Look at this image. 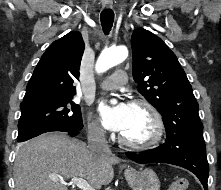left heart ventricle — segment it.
<instances>
[{
    "instance_id": "obj_1",
    "label": "left heart ventricle",
    "mask_w": 221,
    "mask_h": 190,
    "mask_svg": "<svg viewBox=\"0 0 221 190\" xmlns=\"http://www.w3.org/2000/svg\"><path fill=\"white\" fill-rule=\"evenodd\" d=\"M152 130V120L149 113L142 107L132 106L128 126L121 132L126 138L132 141L146 140Z\"/></svg>"
}]
</instances>
